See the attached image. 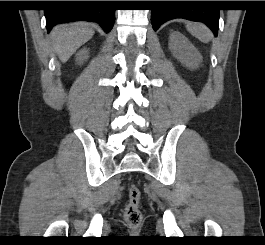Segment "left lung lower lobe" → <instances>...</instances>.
<instances>
[{
    "label": "left lung lower lobe",
    "mask_w": 265,
    "mask_h": 245,
    "mask_svg": "<svg viewBox=\"0 0 265 245\" xmlns=\"http://www.w3.org/2000/svg\"><path fill=\"white\" fill-rule=\"evenodd\" d=\"M211 4L210 1H165L162 7L152 10L151 22L156 31L164 22L183 18L205 23L217 36L219 10L215 8H195Z\"/></svg>",
    "instance_id": "left-lung-lower-lobe-1"
}]
</instances>
